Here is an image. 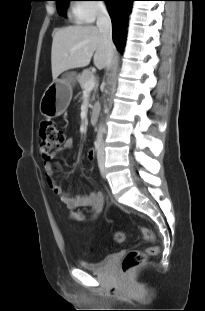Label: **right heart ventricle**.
<instances>
[{
  "instance_id": "1",
  "label": "right heart ventricle",
  "mask_w": 205,
  "mask_h": 311,
  "mask_svg": "<svg viewBox=\"0 0 205 311\" xmlns=\"http://www.w3.org/2000/svg\"><path fill=\"white\" fill-rule=\"evenodd\" d=\"M74 16H75V18L77 19V20H79V18H78V15H77V12L76 11H74ZM80 21V20H79Z\"/></svg>"
}]
</instances>
